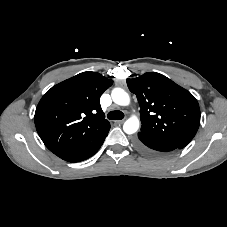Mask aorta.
I'll list each match as a JSON object with an SVG mask.
<instances>
[{
    "label": "aorta",
    "instance_id": "obj_1",
    "mask_svg": "<svg viewBox=\"0 0 227 227\" xmlns=\"http://www.w3.org/2000/svg\"><path fill=\"white\" fill-rule=\"evenodd\" d=\"M114 103L120 106H128L130 104V97L126 91L121 88H114L111 92ZM139 119L132 116L127 119L123 125V130L126 134H133L139 129Z\"/></svg>",
    "mask_w": 227,
    "mask_h": 227
}]
</instances>
